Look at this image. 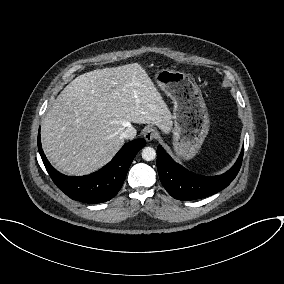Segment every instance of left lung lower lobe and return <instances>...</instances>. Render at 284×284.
<instances>
[{
    "label": "left lung lower lobe",
    "instance_id": "0a47b994",
    "mask_svg": "<svg viewBox=\"0 0 284 284\" xmlns=\"http://www.w3.org/2000/svg\"><path fill=\"white\" fill-rule=\"evenodd\" d=\"M244 147L231 169L218 176H200L177 164L161 147L157 148V169L167 192L178 200H195L213 195L226 188L238 174Z\"/></svg>",
    "mask_w": 284,
    "mask_h": 284
}]
</instances>
